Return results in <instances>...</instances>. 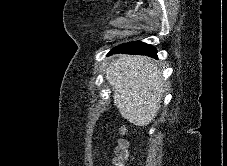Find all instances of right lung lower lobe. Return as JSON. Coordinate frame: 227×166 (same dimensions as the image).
Returning a JSON list of instances; mask_svg holds the SVG:
<instances>
[{
	"instance_id": "1",
	"label": "right lung lower lobe",
	"mask_w": 227,
	"mask_h": 166,
	"mask_svg": "<svg viewBox=\"0 0 227 166\" xmlns=\"http://www.w3.org/2000/svg\"><path fill=\"white\" fill-rule=\"evenodd\" d=\"M117 53L139 54L147 55L150 57H156V50L154 49V47L139 41L121 44L113 48L112 51L110 52V54Z\"/></svg>"
}]
</instances>
